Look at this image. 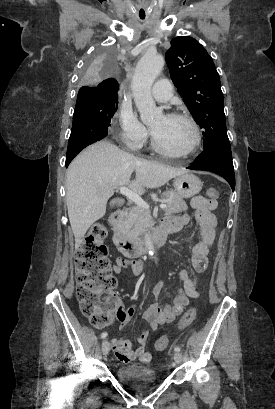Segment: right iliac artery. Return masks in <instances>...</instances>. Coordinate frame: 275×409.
<instances>
[{"mask_svg": "<svg viewBox=\"0 0 275 409\" xmlns=\"http://www.w3.org/2000/svg\"><path fill=\"white\" fill-rule=\"evenodd\" d=\"M107 332H103L102 334H101V339H105L106 337H107Z\"/></svg>", "mask_w": 275, "mask_h": 409, "instance_id": "82829eb1", "label": "right iliac artery"}]
</instances>
